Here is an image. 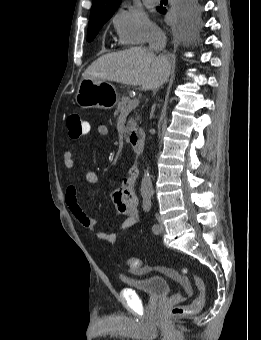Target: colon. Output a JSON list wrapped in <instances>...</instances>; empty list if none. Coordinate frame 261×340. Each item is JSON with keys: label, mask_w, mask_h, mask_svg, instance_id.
<instances>
[{"label": "colon", "mask_w": 261, "mask_h": 340, "mask_svg": "<svg viewBox=\"0 0 261 340\" xmlns=\"http://www.w3.org/2000/svg\"><path fill=\"white\" fill-rule=\"evenodd\" d=\"M66 124L70 138L78 139L85 134V121L78 112H70L67 117ZM126 264L132 271H138L140 268V260L137 258L127 259ZM182 273L183 275L191 276L198 293L190 304L174 307L171 311L173 316L196 313L200 311L205 304L206 293L203 280L198 275L191 273L187 268H183Z\"/></svg>", "instance_id": "obj_1"}]
</instances>
